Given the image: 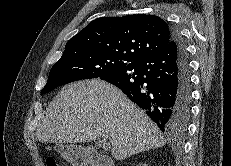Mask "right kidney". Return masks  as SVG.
Returning <instances> with one entry per match:
<instances>
[{
	"label": "right kidney",
	"instance_id": "right-kidney-1",
	"mask_svg": "<svg viewBox=\"0 0 231 166\" xmlns=\"http://www.w3.org/2000/svg\"><path fill=\"white\" fill-rule=\"evenodd\" d=\"M137 166H147V164L146 163H141V164H139Z\"/></svg>",
	"mask_w": 231,
	"mask_h": 166
}]
</instances>
